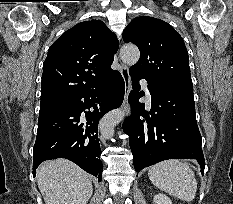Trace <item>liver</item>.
Masks as SVG:
<instances>
[{
  "label": "liver",
  "mask_w": 233,
  "mask_h": 204,
  "mask_svg": "<svg viewBox=\"0 0 233 204\" xmlns=\"http://www.w3.org/2000/svg\"><path fill=\"white\" fill-rule=\"evenodd\" d=\"M37 183L45 204H86L93 191L89 175L66 159L43 162Z\"/></svg>",
  "instance_id": "6515ba94"
}]
</instances>
